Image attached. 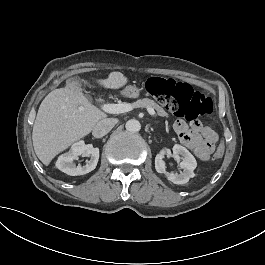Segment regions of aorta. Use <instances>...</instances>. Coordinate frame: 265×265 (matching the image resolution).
Instances as JSON below:
<instances>
[{"mask_svg":"<svg viewBox=\"0 0 265 265\" xmlns=\"http://www.w3.org/2000/svg\"><path fill=\"white\" fill-rule=\"evenodd\" d=\"M125 127L127 131L135 133L141 129V124L136 119H130L126 122Z\"/></svg>","mask_w":265,"mask_h":265,"instance_id":"762f6f07","label":"aorta"}]
</instances>
